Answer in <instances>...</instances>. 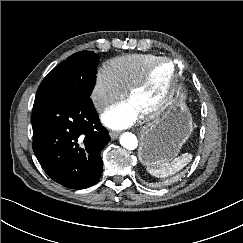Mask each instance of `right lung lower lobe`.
<instances>
[{
	"instance_id": "1",
	"label": "right lung lower lobe",
	"mask_w": 243,
	"mask_h": 243,
	"mask_svg": "<svg viewBox=\"0 0 243 243\" xmlns=\"http://www.w3.org/2000/svg\"><path fill=\"white\" fill-rule=\"evenodd\" d=\"M32 127L33 151L51 179L71 189L96 183L103 169L100 152L110 137L91 99L37 95Z\"/></svg>"
}]
</instances>
